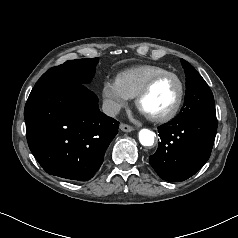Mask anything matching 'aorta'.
<instances>
[{
  "instance_id": "762f6f07",
  "label": "aorta",
  "mask_w": 238,
  "mask_h": 238,
  "mask_svg": "<svg viewBox=\"0 0 238 238\" xmlns=\"http://www.w3.org/2000/svg\"><path fill=\"white\" fill-rule=\"evenodd\" d=\"M156 134L149 129H141L139 131V141L143 146H152L154 144Z\"/></svg>"
}]
</instances>
